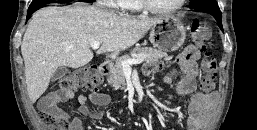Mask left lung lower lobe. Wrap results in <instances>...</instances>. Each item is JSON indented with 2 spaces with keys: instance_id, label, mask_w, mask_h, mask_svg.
<instances>
[{
  "instance_id": "0a47b994",
  "label": "left lung lower lobe",
  "mask_w": 257,
  "mask_h": 130,
  "mask_svg": "<svg viewBox=\"0 0 257 130\" xmlns=\"http://www.w3.org/2000/svg\"><path fill=\"white\" fill-rule=\"evenodd\" d=\"M212 15L217 19L220 28L223 29L222 22H221V13L220 14H212Z\"/></svg>"
}]
</instances>
